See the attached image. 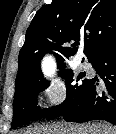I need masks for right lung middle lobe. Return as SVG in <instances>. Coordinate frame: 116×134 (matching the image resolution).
<instances>
[{"instance_id":"1","label":"right lung middle lobe","mask_w":116,"mask_h":134,"mask_svg":"<svg viewBox=\"0 0 116 134\" xmlns=\"http://www.w3.org/2000/svg\"><path fill=\"white\" fill-rule=\"evenodd\" d=\"M59 74L66 79L67 97L65 101L52 108L39 110L36 108L38 94L49 86V82L45 79L32 83L25 87L19 94L14 96L13 101V120L12 129H16L22 125L28 124L30 121L38 118H50L62 111L67 105L78 100L90 78L82 80V84L74 82L73 70L63 67ZM84 77V76H83ZM83 77L78 76L77 81Z\"/></svg>"}]
</instances>
